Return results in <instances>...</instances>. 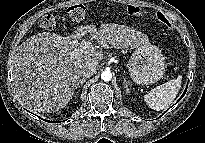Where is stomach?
I'll list each match as a JSON object with an SVG mask.
<instances>
[{
    "label": "stomach",
    "mask_w": 205,
    "mask_h": 143,
    "mask_svg": "<svg viewBox=\"0 0 205 143\" xmlns=\"http://www.w3.org/2000/svg\"><path fill=\"white\" fill-rule=\"evenodd\" d=\"M128 65L130 76L137 84H153L165 73V58L161 50L150 43L138 47Z\"/></svg>",
    "instance_id": "0dacf381"
}]
</instances>
